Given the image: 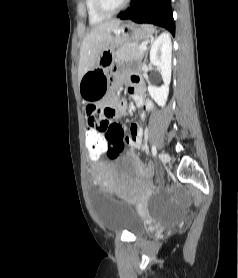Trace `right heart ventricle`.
I'll return each mask as SVG.
<instances>
[{
	"label": "right heart ventricle",
	"mask_w": 238,
	"mask_h": 278,
	"mask_svg": "<svg viewBox=\"0 0 238 278\" xmlns=\"http://www.w3.org/2000/svg\"><path fill=\"white\" fill-rule=\"evenodd\" d=\"M86 10L89 22L91 24H99L106 19L105 16H102L97 13L94 7V0H85Z\"/></svg>",
	"instance_id": "right-heart-ventricle-1"
}]
</instances>
